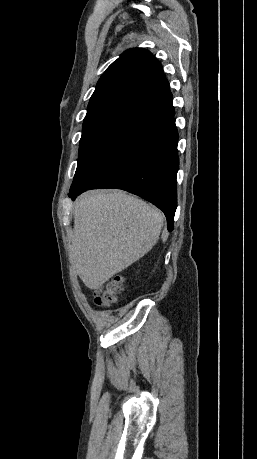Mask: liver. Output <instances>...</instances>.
I'll return each instance as SVG.
<instances>
[{"label":"liver","mask_w":257,"mask_h":459,"mask_svg":"<svg viewBox=\"0 0 257 459\" xmlns=\"http://www.w3.org/2000/svg\"><path fill=\"white\" fill-rule=\"evenodd\" d=\"M163 215L122 191H91L74 206L70 261L86 287L98 289L157 243Z\"/></svg>","instance_id":"obj_1"}]
</instances>
